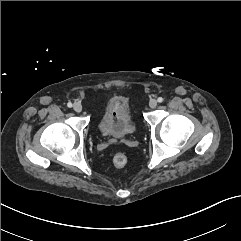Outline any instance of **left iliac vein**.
I'll list each match as a JSON object with an SVG mask.
<instances>
[{
	"label": "left iliac vein",
	"mask_w": 241,
	"mask_h": 241,
	"mask_svg": "<svg viewBox=\"0 0 241 241\" xmlns=\"http://www.w3.org/2000/svg\"><path fill=\"white\" fill-rule=\"evenodd\" d=\"M149 106L151 108H155L157 106V101L155 99L150 100Z\"/></svg>",
	"instance_id": "4c4485c4"
}]
</instances>
